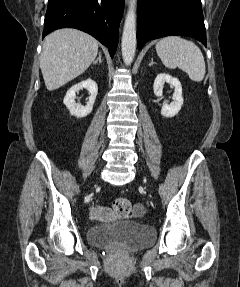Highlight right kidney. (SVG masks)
Wrapping results in <instances>:
<instances>
[{
  "label": "right kidney",
  "instance_id": "ca27d5eb",
  "mask_svg": "<svg viewBox=\"0 0 240 287\" xmlns=\"http://www.w3.org/2000/svg\"><path fill=\"white\" fill-rule=\"evenodd\" d=\"M83 88L87 89L90 95L89 100L85 106H82L75 102L76 92ZM97 93L98 87L96 82L89 78L72 86L67 91L63 102L72 116H75L77 118H83L92 112L93 104L95 102Z\"/></svg>",
  "mask_w": 240,
  "mask_h": 287
}]
</instances>
